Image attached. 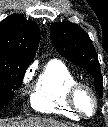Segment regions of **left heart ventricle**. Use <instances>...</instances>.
I'll return each instance as SVG.
<instances>
[{
  "label": "left heart ventricle",
  "mask_w": 108,
  "mask_h": 127,
  "mask_svg": "<svg viewBox=\"0 0 108 127\" xmlns=\"http://www.w3.org/2000/svg\"><path fill=\"white\" fill-rule=\"evenodd\" d=\"M79 105L84 111L90 112L92 109L91 98L87 94H81L79 96Z\"/></svg>",
  "instance_id": "b2bd125f"
}]
</instances>
